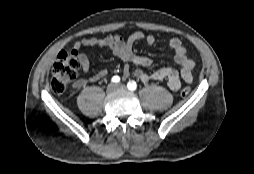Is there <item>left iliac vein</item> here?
<instances>
[{"mask_svg": "<svg viewBox=\"0 0 254 174\" xmlns=\"http://www.w3.org/2000/svg\"><path fill=\"white\" fill-rule=\"evenodd\" d=\"M116 88H117V89H125L126 87H125V85H123V84H117V85H116Z\"/></svg>", "mask_w": 254, "mask_h": 174, "instance_id": "1", "label": "left iliac vein"}]
</instances>
